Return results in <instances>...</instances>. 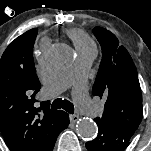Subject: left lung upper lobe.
Here are the masks:
<instances>
[{
	"instance_id": "obj_1",
	"label": "left lung upper lobe",
	"mask_w": 151,
	"mask_h": 151,
	"mask_svg": "<svg viewBox=\"0 0 151 151\" xmlns=\"http://www.w3.org/2000/svg\"><path fill=\"white\" fill-rule=\"evenodd\" d=\"M93 33L101 45L103 57L92 94L106 101L103 116L95 121L132 137L143 111L136 67L113 33L102 27H95Z\"/></svg>"
}]
</instances>
